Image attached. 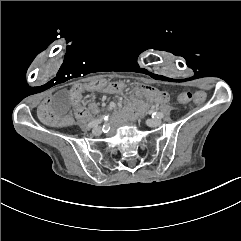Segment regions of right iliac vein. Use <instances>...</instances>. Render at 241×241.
Returning a JSON list of instances; mask_svg holds the SVG:
<instances>
[{
  "mask_svg": "<svg viewBox=\"0 0 241 241\" xmlns=\"http://www.w3.org/2000/svg\"><path fill=\"white\" fill-rule=\"evenodd\" d=\"M101 132H102V129H101L100 126L95 127V128L93 129V131H92V133H93L94 135H99V134H101Z\"/></svg>",
  "mask_w": 241,
  "mask_h": 241,
  "instance_id": "63e3f726",
  "label": "right iliac vein"
}]
</instances>
